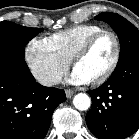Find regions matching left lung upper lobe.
Returning <instances> with one entry per match:
<instances>
[{
  "label": "left lung upper lobe",
  "instance_id": "5c2ea615",
  "mask_svg": "<svg viewBox=\"0 0 139 139\" xmlns=\"http://www.w3.org/2000/svg\"><path fill=\"white\" fill-rule=\"evenodd\" d=\"M95 19L107 22L118 35L121 46L118 64L132 53L139 52V30L128 20L111 12L101 13Z\"/></svg>",
  "mask_w": 139,
  "mask_h": 139
}]
</instances>
